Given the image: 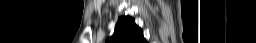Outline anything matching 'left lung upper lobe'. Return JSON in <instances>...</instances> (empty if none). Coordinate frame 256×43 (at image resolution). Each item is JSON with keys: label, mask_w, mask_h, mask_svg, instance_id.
Wrapping results in <instances>:
<instances>
[{"label": "left lung upper lobe", "mask_w": 256, "mask_h": 43, "mask_svg": "<svg viewBox=\"0 0 256 43\" xmlns=\"http://www.w3.org/2000/svg\"><path fill=\"white\" fill-rule=\"evenodd\" d=\"M107 43H147L142 30L129 16L119 17L114 32Z\"/></svg>", "instance_id": "1"}]
</instances>
